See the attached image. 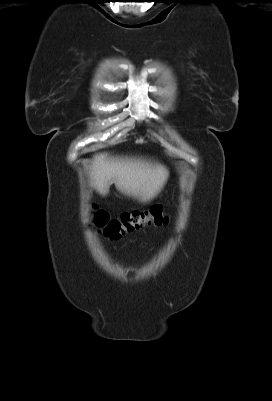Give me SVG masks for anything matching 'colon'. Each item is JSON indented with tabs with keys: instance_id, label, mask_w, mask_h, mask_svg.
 Listing matches in <instances>:
<instances>
[{
	"instance_id": "colon-1",
	"label": "colon",
	"mask_w": 272,
	"mask_h": 401,
	"mask_svg": "<svg viewBox=\"0 0 272 401\" xmlns=\"http://www.w3.org/2000/svg\"><path fill=\"white\" fill-rule=\"evenodd\" d=\"M166 221L160 206H153L147 210L126 211L118 217H110L105 211L97 210L93 216L94 225L101 230L104 237L112 240L147 226H161Z\"/></svg>"
}]
</instances>
